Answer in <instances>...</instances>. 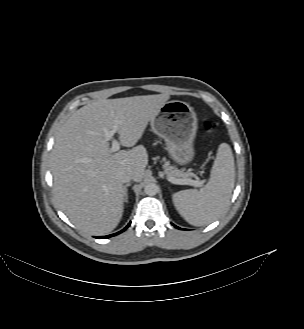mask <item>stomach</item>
<instances>
[{"label": "stomach", "instance_id": "obj_1", "mask_svg": "<svg viewBox=\"0 0 304 329\" xmlns=\"http://www.w3.org/2000/svg\"><path fill=\"white\" fill-rule=\"evenodd\" d=\"M151 128L165 141V149L174 162L186 165L193 160L197 117L189 104L179 100L166 102L151 119Z\"/></svg>", "mask_w": 304, "mask_h": 329}]
</instances>
